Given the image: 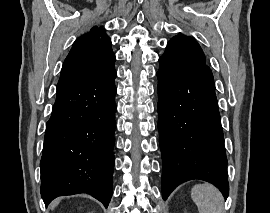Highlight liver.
Returning <instances> with one entry per match:
<instances>
[{"label": "liver", "mask_w": 270, "mask_h": 213, "mask_svg": "<svg viewBox=\"0 0 270 213\" xmlns=\"http://www.w3.org/2000/svg\"><path fill=\"white\" fill-rule=\"evenodd\" d=\"M59 203V200H56L52 203V208H54Z\"/></svg>", "instance_id": "6515ba94"}]
</instances>
